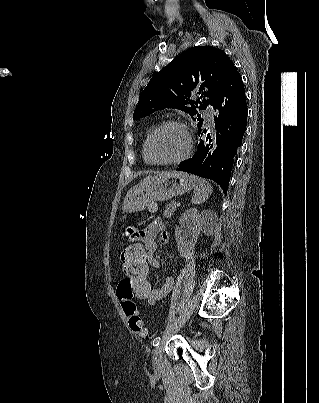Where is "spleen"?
Returning <instances> with one entry per match:
<instances>
[{
    "mask_svg": "<svg viewBox=\"0 0 319 403\" xmlns=\"http://www.w3.org/2000/svg\"><path fill=\"white\" fill-rule=\"evenodd\" d=\"M192 179L195 182L194 185V194L191 199L193 204H202L205 202L212 193L213 187L211 184L203 178L198 176L191 175Z\"/></svg>",
    "mask_w": 319,
    "mask_h": 403,
    "instance_id": "obj_1",
    "label": "spleen"
}]
</instances>
